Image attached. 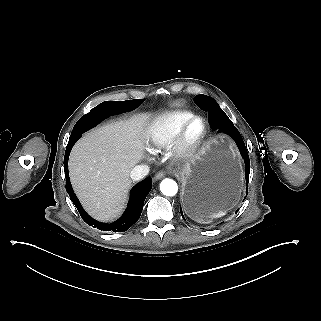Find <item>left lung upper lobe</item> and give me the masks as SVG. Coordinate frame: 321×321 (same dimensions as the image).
<instances>
[{"label": "left lung upper lobe", "instance_id": "5c2ea615", "mask_svg": "<svg viewBox=\"0 0 321 321\" xmlns=\"http://www.w3.org/2000/svg\"><path fill=\"white\" fill-rule=\"evenodd\" d=\"M194 102L204 111H207L209 106H219L213 98L202 94L195 96Z\"/></svg>", "mask_w": 321, "mask_h": 321}]
</instances>
